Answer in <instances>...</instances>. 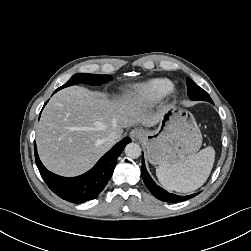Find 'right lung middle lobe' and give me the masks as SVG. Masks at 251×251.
Here are the masks:
<instances>
[{"label":"right lung middle lobe","mask_w":251,"mask_h":251,"mask_svg":"<svg viewBox=\"0 0 251 251\" xmlns=\"http://www.w3.org/2000/svg\"><path fill=\"white\" fill-rule=\"evenodd\" d=\"M112 79L110 75H98V74H75L70 78V80L64 84L63 86L59 87L58 89H62L68 86H72L78 83H85L88 85H101L104 84Z\"/></svg>","instance_id":"dd1d6c3e"}]
</instances>
